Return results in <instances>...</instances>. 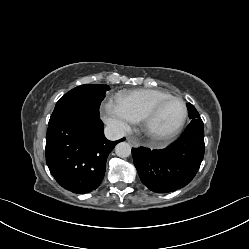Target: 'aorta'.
I'll list each match as a JSON object with an SVG mask.
<instances>
[{
  "label": "aorta",
  "instance_id": "aorta-1",
  "mask_svg": "<svg viewBox=\"0 0 249 249\" xmlns=\"http://www.w3.org/2000/svg\"><path fill=\"white\" fill-rule=\"evenodd\" d=\"M115 153L120 158H126L131 154V146L127 142H120L115 147Z\"/></svg>",
  "mask_w": 249,
  "mask_h": 249
}]
</instances>
